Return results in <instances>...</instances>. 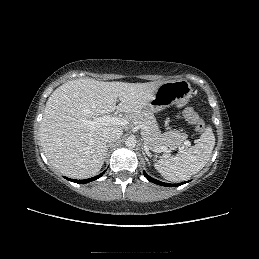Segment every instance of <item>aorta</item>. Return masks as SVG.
I'll list each match as a JSON object with an SVG mask.
<instances>
[{
    "instance_id": "1",
    "label": "aorta",
    "mask_w": 259,
    "mask_h": 259,
    "mask_svg": "<svg viewBox=\"0 0 259 259\" xmlns=\"http://www.w3.org/2000/svg\"><path fill=\"white\" fill-rule=\"evenodd\" d=\"M125 145L127 148H134L136 146V140L133 137H129L125 141Z\"/></svg>"
}]
</instances>
